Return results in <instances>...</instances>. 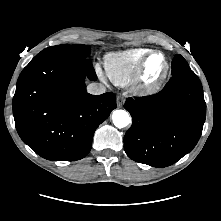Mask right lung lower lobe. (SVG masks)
I'll list each match as a JSON object with an SVG mask.
<instances>
[{"label": "right lung lower lobe", "mask_w": 221, "mask_h": 221, "mask_svg": "<svg viewBox=\"0 0 221 221\" xmlns=\"http://www.w3.org/2000/svg\"><path fill=\"white\" fill-rule=\"evenodd\" d=\"M86 78L97 79L87 58L34 57L21 72L13 98L15 125L41 157L82 159L90 152L95 130L116 108L113 93H87Z\"/></svg>", "instance_id": "1"}]
</instances>
